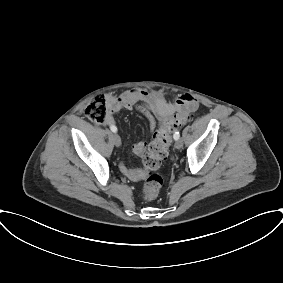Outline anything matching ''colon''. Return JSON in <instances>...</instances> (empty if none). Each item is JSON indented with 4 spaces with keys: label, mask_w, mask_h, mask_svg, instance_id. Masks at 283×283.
Returning <instances> with one entry per match:
<instances>
[{
    "label": "colon",
    "mask_w": 283,
    "mask_h": 283,
    "mask_svg": "<svg viewBox=\"0 0 283 283\" xmlns=\"http://www.w3.org/2000/svg\"><path fill=\"white\" fill-rule=\"evenodd\" d=\"M196 105L194 102L181 104L178 112L163 122L155 133L153 141L143 153L142 161L145 168L153 171L161 165L168 154L172 133L181 127L190 117ZM86 117L96 124H103L108 117L107 102L103 98H95L85 108ZM162 185L159 175L149 173L143 185V196L147 200L156 198Z\"/></svg>",
    "instance_id": "1"
}]
</instances>
